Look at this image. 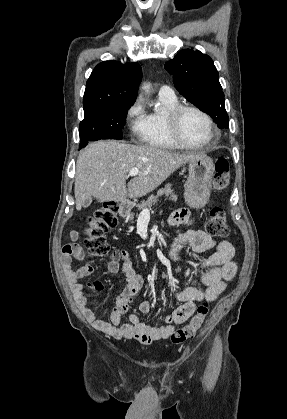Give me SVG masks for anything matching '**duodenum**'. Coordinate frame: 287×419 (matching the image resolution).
Here are the masks:
<instances>
[{"mask_svg": "<svg viewBox=\"0 0 287 419\" xmlns=\"http://www.w3.org/2000/svg\"><path fill=\"white\" fill-rule=\"evenodd\" d=\"M127 209V204L123 203V210L125 211Z\"/></svg>", "mask_w": 287, "mask_h": 419, "instance_id": "410a0bca", "label": "duodenum"}]
</instances>
